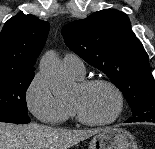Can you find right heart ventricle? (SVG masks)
I'll use <instances>...</instances> for the list:
<instances>
[{
  "label": "right heart ventricle",
  "instance_id": "right-heart-ventricle-1",
  "mask_svg": "<svg viewBox=\"0 0 155 149\" xmlns=\"http://www.w3.org/2000/svg\"><path fill=\"white\" fill-rule=\"evenodd\" d=\"M71 116H73V111H72L71 107L69 106L68 117H71Z\"/></svg>",
  "mask_w": 155,
  "mask_h": 149
}]
</instances>
